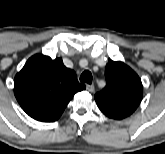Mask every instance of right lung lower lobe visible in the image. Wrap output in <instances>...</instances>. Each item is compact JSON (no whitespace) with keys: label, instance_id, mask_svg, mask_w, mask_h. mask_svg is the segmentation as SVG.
I'll return each instance as SVG.
<instances>
[{"label":"right lung lower lobe","instance_id":"obj_1","mask_svg":"<svg viewBox=\"0 0 165 154\" xmlns=\"http://www.w3.org/2000/svg\"><path fill=\"white\" fill-rule=\"evenodd\" d=\"M61 114L62 113H59V114H57V115H55V116H53V117H51L49 119L44 120L43 122H53V121H56L61 116Z\"/></svg>","mask_w":165,"mask_h":154}]
</instances>
